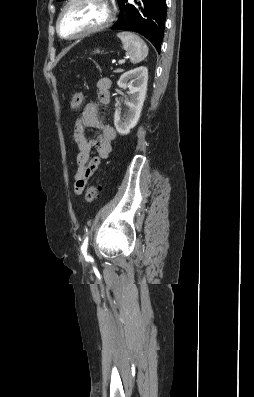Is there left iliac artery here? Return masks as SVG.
Masks as SVG:
<instances>
[{
  "instance_id": "obj_1",
  "label": "left iliac artery",
  "mask_w": 254,
  "mask_h": 397,
  "mask_svg": "<svg viewBox=\"0 0 254 397\" xmlns=\"http://www.w3.org/2000/svg\"><path fill=\"white\" fill-rule=\"evenodd\" d=\"M87 246H88V236H86V238L82 244L81 250H82L83 255L85 256V259L90 260V256L87 255Z\"/></svg>"
}]
</instances>
